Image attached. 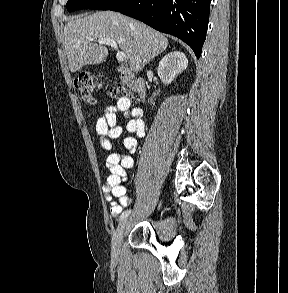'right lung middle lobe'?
Wrapping results in <instances>:
<instances>
[{
	"instance_id": "obj_1",
	"label": "right lung middle lobe",
	"mask_w": 288,
	"mask_h": 293,
	"mask_svg": "<svg viewBox=\"0 0 288 293\" xmlns=\"http://www.w3.org/2000/svg\"><path fill=\"white\" fill-rule=\"evenodd\" d=\"M121 1L122 0H68L66 6L69 12L87 8L109 10Z\"/></svg>"
}]
</instances>
